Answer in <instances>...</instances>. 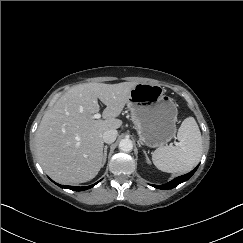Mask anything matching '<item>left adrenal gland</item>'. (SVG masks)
I'll list each match as a JSON object with an SVG mask.
<instances>
[{"label":"left adrenal gland","instance_id":"obj_1","mask_svg":"<svg viewBox=\"0 0 243 243\" xmlns=\"http://www.w3.org/2000/svg\"><path fill=\"white\" fill-rule=\"evenodd\" d=\"M143 152H144V154H145V157H146L147 162H148V163H151V161H150V159H149V157H148L146 151L143 150Z\"/></svg>","mask_w":243,"mask_h":243}]
</instances>
